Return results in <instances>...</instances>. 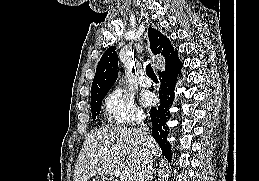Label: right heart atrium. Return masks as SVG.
Returning a JSON list of instances; mask_svg holds the SVG:
<instances>
[{"instance_id": "obj_1", "label": "right heart atrium", "mask_w": 259, "mask_h": 181, "mask_svg": "<svg viewBox=\"0 0 259 181\" xmlns=\"http://www.w3.org/2000/svg\"><path fill=\"white\" fill-rule=\"evenodd\" d=\"M105 119L114 126L124 128L136 124L144 118L142 110L133 97L122 89H114L107 94L103 105Z\"/></svg>"}]
</instances>
